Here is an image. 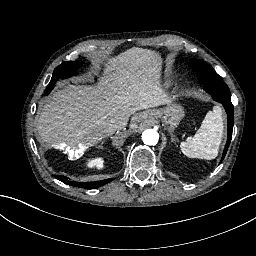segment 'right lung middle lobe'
Instances as JSON below:
<instances>
[{"label":"right lung middle lobe","instance_id":"right-lung-middle-lobe-1","mask_svg":"<svg viewBox=\"0 0 256 256\" xmlns=\"http://www.w3.org/2000/svg\"><path fill=\"white\" fill-rule=\"evenodd\" d=\"M81 64L79 62L67 61L59 65L53 73L52 79L48 84L45 94L48 95L50 91L54 88L56 81L59 78H67L70 77L75 71L80 68Z\"/></svg>","mask_w":256,"mask_h":256}]
</instances>
